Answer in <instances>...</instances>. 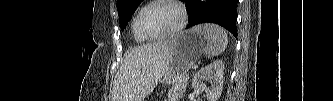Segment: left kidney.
<instances>
[{
    "label": "left kidney",
    "instance_id": "5707ae66",
    "mask_svg": "<svg viewBox=\"0 0 333 101\" xmlns=\"http://www.w3.org/2000/svg\"><path fill=\"white\" fill-rule=\"evenodd\" d=\"M224 63L220 60L213 61L201 68L193 77L192 87L195 90L205 91L208 101H217L223 90ZM210 81L207 86L204 81Z\"/></svg>",
    "mask_w": 333,
    "mask_h": 101
}]
</instances>
